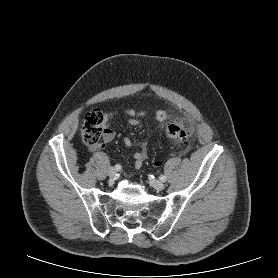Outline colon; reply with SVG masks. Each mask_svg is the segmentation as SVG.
Here are the masks:
<instances>
[{"instance_id": "5ec220e1", "label": "colon", "mask_w": 278, "mask_h": 278, "mask_svg": "<svg viewBox=\"0 0 278 278\" xmlns=\"http://www.w3.org/2000/svg\"><path fill=\"white\" fill-rule=\"evenodd\" d=\"M103 122L104 115L98 109H94L86 114L82 126V138L90 148L99 146V141L103 134ZM165 135L169 139L186 144L189 132L183 123L173 122L165 127Z\"/></svg>"}]
</instances>
